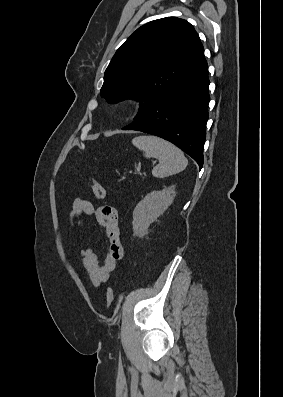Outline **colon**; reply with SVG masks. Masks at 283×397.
Wrapping results in <instances>:
<instances>
[{
  "instance_id": "1",
  "label": "colon",
  "mask_w": 283,
  "mask_h": 397,
  "mask_svg": "<svg viewBox=\"0 0 283 397\" xmlns=\"http://www.w3.org/2000/svg\"><path fill=\"white\" fill-rule=\"evenodd\" d=\"M90 188L97 199H104L105 198V189L103 186L92 176H87ZM106 302L107 305H111L114 302V292L111 288H107L106 290Z\"/></svg>"
}]
</instances>
